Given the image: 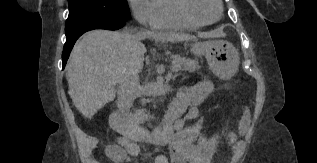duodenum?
Here are the masks:
<instances>
[{"label":"duodenum","mask_w":317,"mask_h":163,"mask_svg":"<svg viewBox=\"0 0 317 163\" xmlns=\"http://www.w3.org/2000/svg\"><path fill=\"white\" fill-rule=\"evenodd\" d=\"M177 115L169 112L161 127L148 131L139 125L132 123L123 113L114 112L110 117L111 128L124 138V144L130 145L137 142H146L152 145L166 143L173 135ZM113 155H119L123 146L113 144L109 146Z\"/></svg>","instance_id":"1"}]
</instances>
